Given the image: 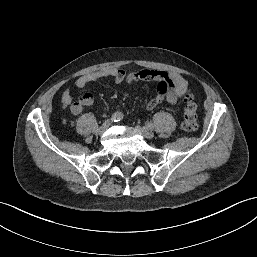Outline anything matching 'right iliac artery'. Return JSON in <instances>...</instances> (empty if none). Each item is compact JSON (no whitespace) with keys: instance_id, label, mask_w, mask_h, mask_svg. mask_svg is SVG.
Masks as SVG:
<instances>
[{"instance_id":"82829eb1","label":"right iliac artery","mask_w":257,"mask_h":257,"mask_svg":"<svg viewBox=\"0 0 257 257\" xmlns=\"http://www.w3.org/2000/svg\"><path fill=\"white\" fill-rule=\"evenodd\" d=\"M123 119V114L121 112H115L112 116H111V121L112 122H118L120 120Z\"/></svg>"}]
</instances>
